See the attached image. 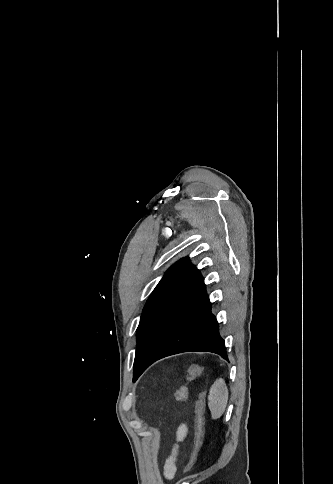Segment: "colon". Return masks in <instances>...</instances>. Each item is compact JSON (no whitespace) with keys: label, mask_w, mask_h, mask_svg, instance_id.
I'll return each instance as SVG.
<instances>
[{"label":"colon","mask_w":333,"mask_h":484,"mask_svg":"<svg viewBox=\"0 0 333 484\" xmlns=\"http://www.w3.org/2000/svg\"><path fill=\"white\" fill-rule=\"evenodd\" d=\"M204 370V367L201 364H194L192 365L186 375L185 382L178 388L175 393V399L183 403L188 398V383L194 379H196ZM204 410H205V392L201 393L198 397V400L195 403V411H194V444L192 447V451L190 453L189 460L184 468V472L189 471L197 458L198 452L202 445L203 436H204Z\"/></svg>","instance_id":"1"}]
</instances>
